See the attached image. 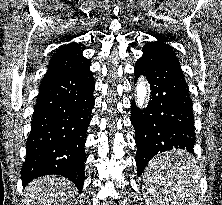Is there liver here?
<instances>
[{"instance_id":"obj_1","label":"liver","mask_w":222,"mask_h":205,"mask_svg":"<svg viewBox=\"0 0 222 205\" xmlns=\"http://www.w3.org/2000/svg\"><path fill=\"white\" fill-rule=\"evenodd\" d=\"M76 187L61 176H45L33 180L24 193L25 205H71Z\"/></svg>"}]
</instances>
